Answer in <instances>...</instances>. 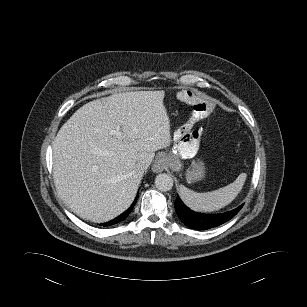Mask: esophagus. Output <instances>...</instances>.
I'll use <instances>...</instances> for the list:
<instances>
[{
	"mask_svg": "<svg viewBox=\"0 0 307 307\" xmlns=\"http://www.w3.org/2000/svg\"><path fill=\"white\" fill-rule=\"evenodd\" d=\"M167 166V158L163 155L158 156L152 166L153 172H162Z\"/></svg>",
	"mask_w": 307,
	"mask_h": 307,
	"instance_id": "1",
	"label": "esophagus"
}]
</instances>
